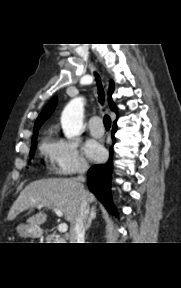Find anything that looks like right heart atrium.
I'll list each match as a JSON object with an SVG mask.
<instances>
[{"label":"right heart atrium","mask_w":181,"mask_h":288,"mask_svg":"<svg viewBox=\"0 0 181 288\" xmlns=\"http://www.w3.org/2000/svg\"><path fill=\"white\" fill-rule=\"evenodd\" d=\"M44 154L51 169L59 175H71L84 171L88 167L86 159L78 150L73 139L56 136L44 144Z\"/></svg>","instance_id":"d8ad5b80"}]
</instances>
